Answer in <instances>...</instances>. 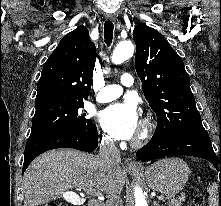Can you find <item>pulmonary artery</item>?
<instances>
[{
	"label": "pulmonary artery",
	"instance_id": "obj_1",
	"mask_svg": "<svg viewBox=\"0 0 221 206\" xmlns=\"http://www.w3.org/2000/svg\"><path fill=\"white\" fill-rule=\"evenodd\" d=\"M120 83L122 86L131 87L134 85V78L131 74L125 73L121 76ZM122 92L120 85H106L101 88L96 100L100 103L110 102L118 98Z\"/></svg>",
	"mask_w": 221,
	"mask_h": 206
}]
</instances>
